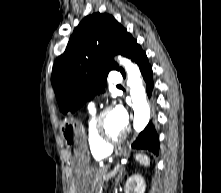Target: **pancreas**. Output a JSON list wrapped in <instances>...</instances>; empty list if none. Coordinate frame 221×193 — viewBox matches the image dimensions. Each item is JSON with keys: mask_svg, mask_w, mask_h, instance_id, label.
I'll return each instance as SVG.
<instances>
[{"mask_svg": "<svg viewBox=\"0 0 221 193\" xmlns=\"http://www.w3.org/2000/svg\"><path fill=\"white\" fill-rule=\"evenodd\" d=\"M107 170H108V166H104L102 168H99L96 171V175H95V183H96L95 193H100L101 190L103 189L104 176L106 175Z\"/></svg>", "mask_w": 221, "mask_h": 193, "instance_id": "pancreas-1", "label": "pancreas"}]
</instances>
